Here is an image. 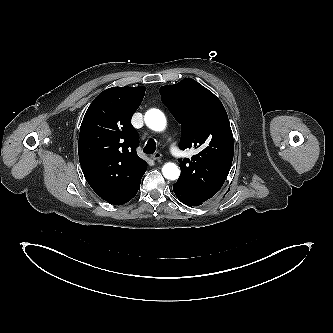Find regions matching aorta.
I'll return each instance as SVG.
<instances>
[{
    "instance_id": "1",
    "label": "aorta",
    "mask_w": 333,
    "mask_h": 333,
    "mask_svg": "<svg viewBox=\"0 0 333 333\" xmlns=\"http://www.w3.org/2000/svg\"><path fill=\"white\" fill-rule=\"evenodd\" d=\"M146 125L157 132L163 131L166 127V117L158 109H150L145 114ZM163 176L169 180H176L180 175L178 166L174 163H166L162 168Z\"/></svg>"
}]
</instances>
